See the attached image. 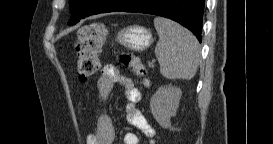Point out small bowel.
Returning a JSON list of instances; mask_svg holds the SVG:
<instances>
[{
    "instance_id": "small-bowel-1",
    "label": "small bowel",
    "mask_w": 273,
    "mask_h": 144,
    "mask_svg": "<svg viewBox=\"0 0 273 144\" xmlns=\"http://www.w3.org/2000/svg\"><path fill=\"white\" fill-rule=\"evenodd\" d=\"M114 85H118L124 92L127 104L125 106L126 118L130 125L139 129L149 143L154 144L155 131L147 119L137 107L140 100V91L134 85L131 78L120 73L113 65L105 66L98 78L97 89L100 97L106 100ZM115 138V130L110 117L103 113L98 119L97 129L94 134L87 136V144H112ZM139 138L136 133L128 132L124 136V144H138Z\"/></svg>"
}]
</instances>
